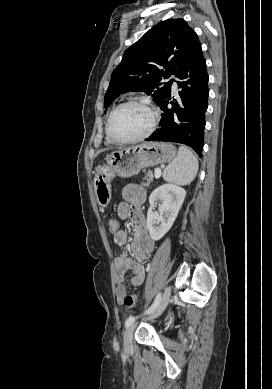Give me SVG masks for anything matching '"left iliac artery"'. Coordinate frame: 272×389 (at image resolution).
I'll return each mask as SVG.
<instances>
[{
	"instance_id": "44dca946",
	"label": "left iliac artery",
	"mask_w": 272,
	"mask_h": 389,
	"mask_svg": "<svg viewBox=\"0 0 272 389\" xmlns=\"http://www.w3.org/2000/svg\"><path fill=\"white\" fill-rule=\"evenodd\" d=\"M160 300H161V293H159V294L156 296V298H155L153 304L148 308V310L145 312V314H151V313L156 309V307L158 306ZM136 318H137V317H135V316L129 317V318L125 321V327L128 328L130 325H132Z\"/></svg>"
}]
</instances>
